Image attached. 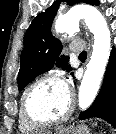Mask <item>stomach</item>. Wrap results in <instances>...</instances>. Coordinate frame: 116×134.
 <instances>
[{"label":"stomach","instance_id":"obj_1","mask_svg":"<svg viewBox=\"0 0 116 134\" xmlns=\"http://www.w3.org/2000/svg\"><path fill=\"white\" fill-rule=\"evenodd\" d=\"M88 130L85 126H77L76 128H60L57 129L54 134H87ZM46 134H52V132H47Z\"/></svg>","mask_w":116,"mask_h":134}]
</instances>
